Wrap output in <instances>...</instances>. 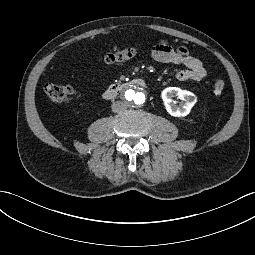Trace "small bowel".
I'll list each match as a JSON object with an SVG mask.
<instances>
[{"instance_id": "small-bowel-1", "label": "small bowel", "mask_w": 255, "mask_h": 255, "mask_svg": "<svg viewBox=\"0 0 255 255\" xmlns=\"http://www.w3.org/2000/svg\"><path fill=\"white\" fill-rule=\"evenodd\" d=\"M150 56L158 62L184 65L185 68L176 74L180 81H200L207 75L204 63L192 56L186 47L173 48L166 41H157L150 48Z\"/></svg>"}]
</instances>
